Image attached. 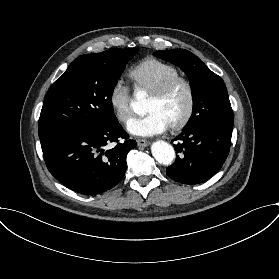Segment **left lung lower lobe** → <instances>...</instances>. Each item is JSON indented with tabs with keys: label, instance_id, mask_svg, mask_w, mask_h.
I'll list each match as a JSON object with an SVG mask.
<instances>
[{
	"label": "left lung lower lobe",
	"instance_id": "0a47b994",
	"mask_svg": "<svg viewBox=\"0 0 279 279\" xmlns=\"http://www.w3.org/2000/svg\"><path fill=\"white\" fill-rule=\"evenodd\" d=\"M233 126L202 123L185 128L174 140L180 158L166 169L176 182L198 184L215 175L225 162L231 144ZM173 142V141H172Z\"/></svg>",
	"mask_w": 279,
	"mask_h": 279
}]
</instances>
